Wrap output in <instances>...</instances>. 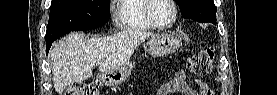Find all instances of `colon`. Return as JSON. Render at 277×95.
I'll return each instance as SVG.
<instances>
[{
	"label": "colon",
	"mask_w": 277,
	"mask_h": 95,
	"mask_svg": "<svg viewBox=\"0 0 277 95\" xmlns=\"http://www.w3.org/2000/svg\"><path fill=\"white\" fill-rule=\"evenodd\" d=\"M215 58L214 47L195 53L187 60L189 70L196 76L208 75L213 67ZM67 95H97L99 94V86L95 83L77 82L67 89Z\"/></svg>",
	"instance_id": "1"
}]
</instances>
